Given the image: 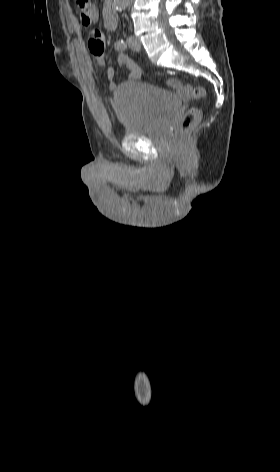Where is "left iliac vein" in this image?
<instances>
[{
  "label": "left iliac vein",
  "mask_w": 280,
  "mask_h": 472,
  "mask_svg": "<svg viewBox=\"0 0 280 472\" xmlns=\"http://www.w3.org/2000/svg\"><path fill=\"white\" fill-rule=\"evenodd\" d=\"M127 44L132 50H134L136 52L140 51V49H141V44H140L139 40L134 36H129L127 38Z\"/></svg>",
  "instance_id": "1"
}]
</instances>
